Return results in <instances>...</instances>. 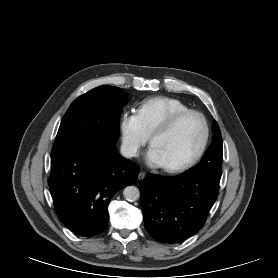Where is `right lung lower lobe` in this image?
<instances>
[{
	"mask_svg": "<svg viewBox=\"0 0 278 278\" xmlns=\"http://www.w3.org/2000/svg\"><path fill=\"white\" fill-rule=\"evenodd\" d=\"M49 189L60 221L90 237L108 226V205L132 185L139 168L121 157L114 141H94L51 153Z\"/></svg>",
	"mask_w": 278,
	"mask_h": 278,
	"instance_id": "98d812e1",
	"label": "right lung lower lobe"
}]
</instances>
